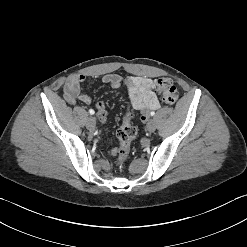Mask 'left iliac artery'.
I'll use <instances>...</instances> for the list:
<instances>
[{"mask_svg": "<svg viewBox=\"0 0 247 247\" xmlns=\"http://www.w3.org/2000/svg\"><path fill=\"white\" fill-rule=\"evenodd\" d=\"M150 115H151V116H154V115H155V112H154V111H152V112L150 113Z\"/></svg>", "mask_w": 247, "mask_h": 247, "instance_id": "obj_1", "label": "left iliac artery"}]
</instances>
